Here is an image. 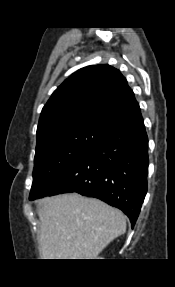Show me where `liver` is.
<instances>
[{
  "label": "liver",
  "mask_w": 175,
  "mask_h": 287,
  "mask_svg": "<svg viewBox=\"0 0 175 287\" xmlns=\"http://www.w3.org/2000/svg\"><path fill=\"white\" fill-rule=\"evenodd\" d=\"M38 216L43 259H95L126 232L121 211L79 194L43 199Z\"/></svg>",
  "instance_id": "liver-1"
}]
</instances>
